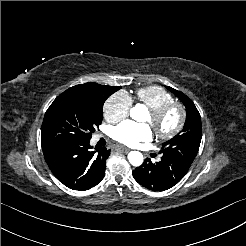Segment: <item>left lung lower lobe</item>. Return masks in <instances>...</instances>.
<instances>
[{
    "label": "left lung lower lobe",
    "instance_id": "1",
    "mask_svg": "<svg viewBox=\"0 0 246 246\" xmlns=\"http://www.w3.org/2000/svg\"><path fill=\"white\" fill-rule=\"evenodd\" d=\"M189 168L172 158L162 155L161 161L152 163L149 158L133 171L135 180L152 191L167 190L176 185Z\"/></svg>",
    "mask_w": 246,
    "mask_h": 246
}]
</instances>
